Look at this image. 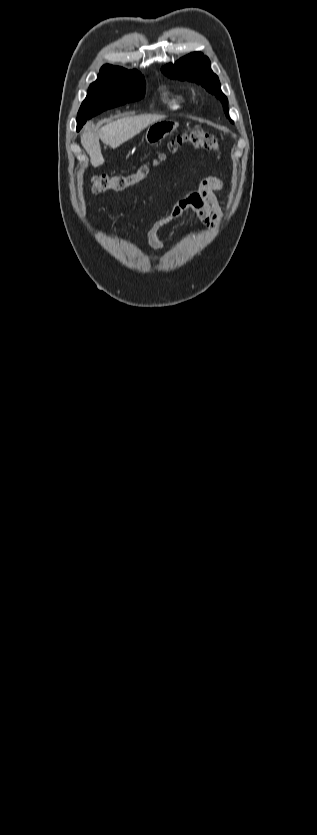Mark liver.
<instances>
[{
    "label": "liver",
    "mask_w": 317,
    "mask_h": 835,
    "mask_svg": "<svg viewBox=\"0 0 317 835\" xmlns=\"http://www.w3.org/2000/svg\"><path fill=\"white\" fill-rule=\"evenodd\" d=\"M161 117L153 115H137L123 117L108 122L98 133L88 132L81 137V144L90 156L93 167L103 165L105 160L101 153L99 139L115 149L135 137L151 124L161 121Z\"/></svg>",
    "instance_id": "6515ba94"
}]
</instances>
